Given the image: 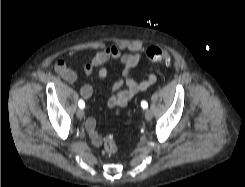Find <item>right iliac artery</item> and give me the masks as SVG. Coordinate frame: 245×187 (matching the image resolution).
Returning a JSON list of instances; mask_svg holds the SVG:
<instances>
[{"label": "right iliac artery", "instance_id": "right-iliac-artery-1", "mask_svg": "<svg viewBox=\"0 0 245 187\" xmlns=\"http://www.w3.org/2000/svg\"><path fill=\"white\" fill-rule=\"evenodd\" d=\"M78 106H79V108H81V109H83V108L85 107V103H84V101H83L82 99L79 100Z\"/></svg>", "mask_w": 245, "mask_h": 187}]
</instances>
